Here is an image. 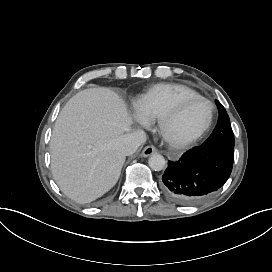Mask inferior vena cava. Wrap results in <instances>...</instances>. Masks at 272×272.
I'll return each instance as SVG.
<instances>
[{
    "instance_id": "inferior-vena-cava-1",
    "label": "inferior vena cava",
    "mask_w": 272,
    "mask_h": 272,
    "mask_svg": "<svg viewBox=\"0 0 272 272\" xmlns=\"http://www.w3.org/2000/svg\"><path fill=\"white\" fill-rule=\"evenodd\" d=\"M146 141V133L143 130H136L118 138L116 149L126 156L133 154L140 145Z\"/></svg>"
}]
</instances>
